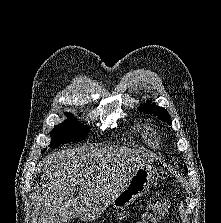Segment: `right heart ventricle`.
Returning <instances> with one entry per match:
<instances>
[{
    "label": "right heart ventricle",
    "mask_w": 221,
    "mask_h": 223,
    "mask_svg": "<svg viewBox=\"0 0 221 223\" xmlns=\"http://www.w3.org/2000/svg\"><path fill=\"white\" fill-rule=\"evenodd\" d=\"M140 133L143 136V138L148 139V140H152V138L154 137V133L148 129V128H140Z\"/></svg>",
    "instance_id": "e07e8e85"
}]
</instances>
